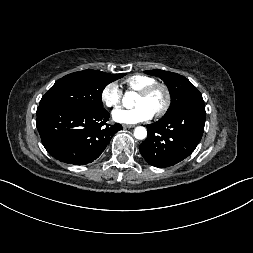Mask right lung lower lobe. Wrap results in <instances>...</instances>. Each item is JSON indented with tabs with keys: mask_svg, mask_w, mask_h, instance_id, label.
<instances>
[{
	"mask_svg": "<svg viewBox=\"0 0 253 253\" xmlns=\"http://www.w3.org/2000/svg\"><path fill=\"white\" fill-rule=\"evenodd\" d=\"M109 113L104 109H83L39 105L36 125L47 152L55 159L73 165L93 162L107 147L121 124L108 125Z\"/></svg>",
	"mask_w": 253,
	"mask_h": 253,
	"instance_id": "obj_1",
	"label": "right lung lower lobe"
}]
</instances>
